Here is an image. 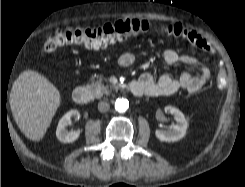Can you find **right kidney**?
I'll return each instance as SVG.
<instances>
[{
  "instance_id": "ca27d5eb",
  "label": "right kidney",
  "mask_w": 245,
  "mask_h": 187,
  "mask_svg": "<svg viewBox=\"0 0 245 187\" xmlns=\"http://www.w3.org/2000/svg\"><path fill=\"white\" fill-rule=\"evenodd\" d=\"M71 118L79 119L80 113L78 110L68 111L60 120L56 129V136L58 140L63 143H72L79 138L80 130H70L66 129L67 125L70 123Z\"/></svg>"
}]
</instances>
